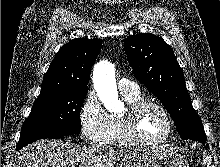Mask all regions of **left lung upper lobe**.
I'll return each mask as SVG.
<instances>
[{"label": "left lung upper lobe", "mask_w": 220, "mask_h": 167, "mask_svg": "<svg viewBox=\"0 0 220 167\" xmlns=\"http://www.w3.org/2000/svg\"><path fill=\"white\" fill-rule=\"evenodd\" d=\"M124 48L136 79L161 101L175 122L180 137L205 143L204 127L192 107L183 70L172 48L151 33L128 36Z\"/></svg>", "instance_id": "1"}]
</instances>
